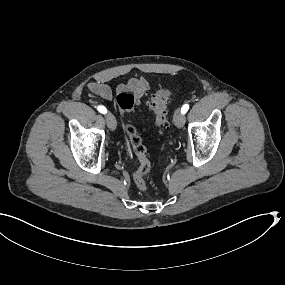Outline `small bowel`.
<instances>
[{
	"mask_svg": "<svg viewBox=\"0 0 285 285\" xmlns=\"http://www.w3.org/2000/svg\"><path fill=\"white\" fill-rule=\"evenodd\" d=\"M88 89L93 93L101 96L107 101H112L113 91L109 85L103 82H90L87 85ZM149 89V83L143 77H132L126 83H121L116 87V92L129 91L135 94L137 104Z\"/></svg>",
	"mask_w": 285,
	"mask_h": 285,
	"instance_id": "c3829d8e",
	"label": "small bowel"
}]
</instances>
